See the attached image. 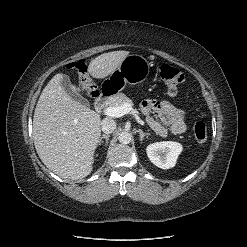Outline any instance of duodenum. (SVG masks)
<instances>
[{
    "label": "duodenum",
    "instance_id": "obj_1",
    "mask_svg": "<svg viewBox=\"0 0 247 247\" xmlns=\"http://www.w3.org/2000/svg\"><path fill=\"white\" fill-rule=\"evenodd\" d=\"M109 96V92H102L101 94H99L95 99V108L97 110L103 109L108 101Z\"/></svg>",
    "mask_w": 247,
    "mask_h": 247
}]
</instances>
